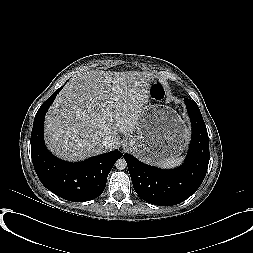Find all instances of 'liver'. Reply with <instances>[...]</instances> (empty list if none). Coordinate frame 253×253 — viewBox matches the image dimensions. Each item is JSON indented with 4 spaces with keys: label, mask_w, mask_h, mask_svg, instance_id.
<instances>
[{
    "label": "liver",
    "mask_w": 253,
    "mask_h": 253,
    "mask_svg": "<svg viewBox=\"0 0 253 253\" xmlns=\"http://www.w3.org/2000/svg\"><path fill=\"white\" fill-rule=\"evenodd\" d=\"M150 74L88 71L70 79L45 118V141L58 157L69 161L116 149L119 134L136 130L148 102ZM113 143L106 148L103 138Z\"/></svg>",
    "instance_id": "1"
}]
</instances>
